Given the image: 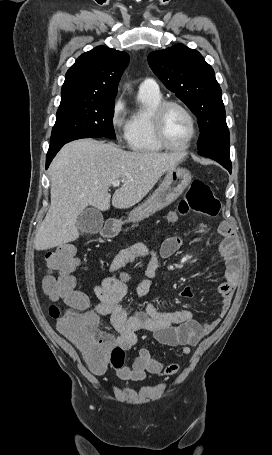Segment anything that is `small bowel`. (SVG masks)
I'll use <instances>...</instances> for the list:
<instances>
[{
	"label": "small bowel",
	"mask_w": 272,
	"mask_h": 455,
	"mask_svg": "<svg viewBox=\"0 0 272 455\" xmlns=\"http://www.w3.org/2000/svg\"><path fill=\"white\" fill-rule=\"evenodd\" d=\"M208 229V225L201 224L197 232L205 233ZM218 233L222 240L216 246L225 262V280L218 286L221 305L218 316L211 322H198L194 319L192 312L186 309L161 310L149 301L144 302L143 310L132 313L122 304V300L127 294L128 279L123 277L121 270L138 257L150 254L151 258L146 267L145 278L136 288L139 298L146 297L150 291L151 280L156 274L159 259L172 256L182 246L183 239L179 236L166 238L162 242L159 252L153 251L147 244L141 243L118 253L109 266L110 274L94 289L98 303L90 313L96 319L98 315L109 316L111 324L117 332L115 341L125 349L131 348L137 343L139 332H151L161 348L180 347L183 355L190 354L191 347L214 330L225 316L240 279L238 249L230 225L222 223L218 228ZM180 294L182 297L190 298L194 293L191 287H185ZM178 370V364H164L147 348H142L132 365H123L117 368L116 372L122 380L141 381L148 374L171 376Z\"/></svg>",
	"instance_id": "obj_1"
}]
</instances>
